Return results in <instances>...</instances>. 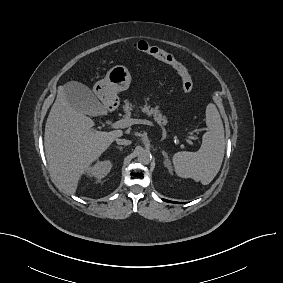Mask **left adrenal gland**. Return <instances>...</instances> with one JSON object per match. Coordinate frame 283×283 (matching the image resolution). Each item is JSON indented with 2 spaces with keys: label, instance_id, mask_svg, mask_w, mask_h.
Segmentation results:
<instances>
[{
  "label": "left adrenal gland",
  "instance_id": "1",
  "mask_svg": "<svg viewBox=\"0 0 283 283\" xmlns=\"http://www.w3.org/2000/svg\"><path fill=\"white\" fill-rule=\"evenodd\" d=\"M162 154H163V156L165 158L164 164L169 169V171L171 172L172 171V166H171V162H170V160L168 158V155H167V153L164 150L162 151Z\"/></svg>",
  "mask_w": 283,
  "mask_h": 283
}]
</instances>
